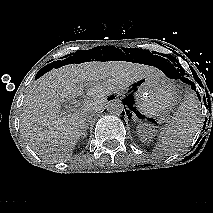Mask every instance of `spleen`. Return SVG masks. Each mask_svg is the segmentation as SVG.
<instances>
[{
	"mask_svg": "<svg viewBox=\"0 0 213 213\" xmlns=\"http://www.w3.org/2000/svg\"><path fill=\"white\" fill-rule=\"evenodd\" d=\"M200 110V102L196 94L188 93L172 120L161 128L159 149L165 153H173L187 146L201 126Z\"/></svg>",
	"mask_w": 213,
	"mask_h": 213,
	"instance_id": "1",
	"label": "spleen"
}]
</instances>
